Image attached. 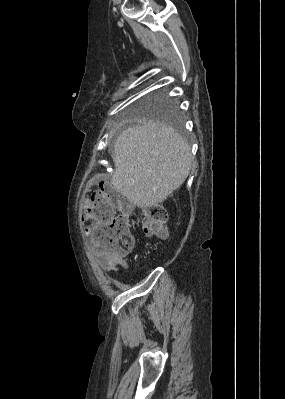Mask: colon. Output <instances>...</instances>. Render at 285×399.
Returning a JSON list of instances; mask_svg holds the SVG:
<instances>
[{
    "label": "colon",
    "mask_w": 285,
    "mask_h": 399,
    "mask_svg": "<svg viewBox=\"0 0 285 399\" xmlns=\"http://www.w3.org/2000/svg\"><path fill=\"white\" fill-rule=\"evenodd\" d=\"M122 198L110 184L102 182L87 195L82 205V217L93 221V240L113 260L125 259L132 251V218L141 220L142 227L157 236H166L167 214L164 207L151 205L131 214H115Z\"/></svg>",
    "instance_id": "obj_1"
}]
</instances>
